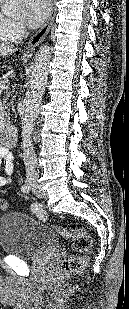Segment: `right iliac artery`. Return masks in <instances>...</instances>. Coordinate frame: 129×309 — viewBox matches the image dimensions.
Here are the masks:
<instances>
[{
	"instance_id": "1",
	"label": "right iliac artery",
	"mask_w": 129,
	"mask_h": 309,
	"mask_svg": "<svg viewBox=\"0 0 129 309\" xmlns=\"http://www.w3.org/2000/svg\"><path fill=\"white\" fill-rule=\"evenodd\" d=\"M34 167L32 166H28L27 168V181L26 183L22 186L21 190L25 193V192H29L30 188H31V183L34 177Z\"/></svg>"
}]
</instances>
